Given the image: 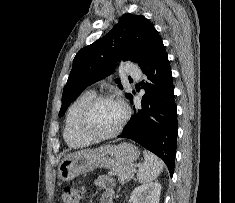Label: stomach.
<instances>
[{"label": "stomach", "instance_id": "obj_1", "mask_svg": "<svg viewBox=\"0 0 235 203\" xmlns=\"http://www.w3.org/2000/svg\"><path fill=\"white\" fill-rule=\"evenodd\" d=\"M139 155L138 148L127 142L81 150L63 158L58 166V177L63 181H69L98 167L114 168L130 165L139 158Z\"/></svg>", "mask_w": 235, "mask_h": 203}]
</instances>
